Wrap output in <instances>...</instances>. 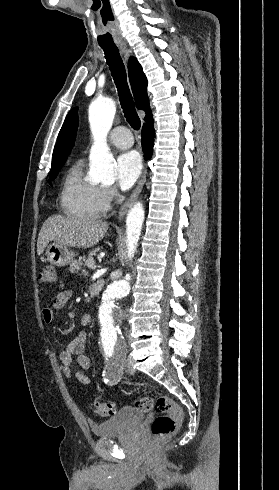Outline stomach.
Wrapping results in <instances>:
<instances>
[{"label":"stomach","mask_w":279,"mask_h":490,"mask_svg":"<svg viewBox=\"0 0 279 490\" xmlns=\"http://www.w3.org/2000/svg\"><path fill=\"white\" fill-rule=\"evenodd\" d=\"M46 260L53 264V266H67L70 262H73L75 258V252L68 250L67 246H60V244H51L46 250Z\"/></svg>","instance_id":"1"}]
</instances>
